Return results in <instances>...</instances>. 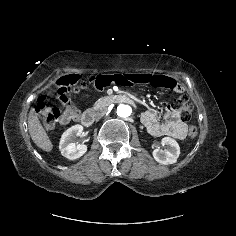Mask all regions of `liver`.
Returning <instances> with one entry per match:
<instances>
[{"label": "liver", "instance_id": "obj_1", "mask_svg": "<svg viewBox=\"0 0 236 236\" xmlns=\"http://www.w3.org/2000/svg\"><path fill=\"white\" fill-rule=\"evenodd\" d=\"M28 129L31 139L39 148L46 152L52 151L53 144L45 132L43 126L41 125L38 114L34 108H32L29 112Z\"/></svg>", "mask_w": 236, "mask_h": 236}]
</instances>
